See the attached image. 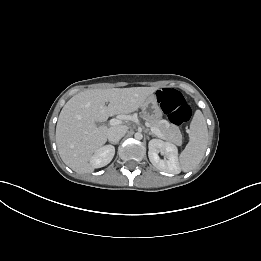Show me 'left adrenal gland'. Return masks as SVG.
<instances>
[{
  "label": "left adrenal gland",
  "instance_id": "left-adrenal-gland-1",
  "mask_svg": "<svg viewBox=\"0 0 261 261\" xmlns=\"http://www.w3.org/2000/svg\"><path fill=\"white\" fill-rule=\"evenodd\" d=\"M148 134L151 135V136H155V135H154L152 132H150V131L148 132Z\"/></svg>",
  "mask_w": 261,
  "mask_h": 261
}]
</instances>
